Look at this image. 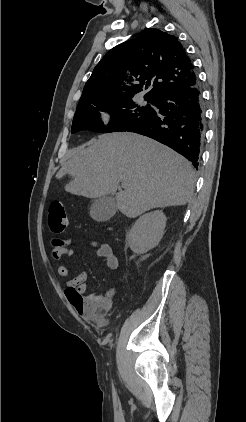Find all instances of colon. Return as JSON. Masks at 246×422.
<instances>
[{
    "label": "colon",
    "instance_id": "5ec220e1",
    "mask_svg": "<svg viewBox=\"0 0 246 422\" xmlns=\"http://www.w3.org/2000/svg\"><path fill=\"white\" fill-rule=\"evenodd\" d=\"M49 228L54 233H62L68 224L66 209L61 201H53L49 206Z\"/></svg>",
    "mask_w": 246,
    "mask_h": 422
}]
</instances>
